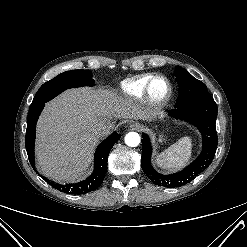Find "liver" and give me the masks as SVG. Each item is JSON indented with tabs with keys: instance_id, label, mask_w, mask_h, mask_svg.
<instances>
[{
	"instance_id": "liver-1",
	"label": "liver",
	"mask_w": 247,
	"mask_h": 247,
	"mask_svg": "<svg viewBox=\"0 0 247 247\" xmlns=\"http://www.w3.org/2000/svg\"><path fill=\"white\" fill-rule=\"evenodd\" d=\"M157 115L158 112L142 109L110 89H69L50 101L39 118L37 167L54 181H74L92 162L101 137L93 131L97 123L104 122L111 129L114 118L151 121Z\"/></svg>"
}]
</instances>
